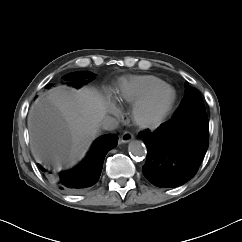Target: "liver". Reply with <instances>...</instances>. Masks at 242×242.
<instances>
[{
  "mask_svg": "<svg viewBox=\"0 0 242 242\" xmlns=\"http://www.w3.org/2000/svg\"><path fill=\"white\" fill-rule=\"evenodd\" d=\"M105 114V103L94 89L49 90L28 116L33 155L58 167L73 166L84 157Z\"/></svg>",
  "mask_w": 242,
  "mask_h": 242,
  "instance_id": "1",
  "label": "liver"
}]
</instances>
